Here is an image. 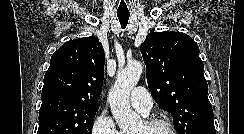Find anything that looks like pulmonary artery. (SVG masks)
<instances>
[{
    "label": "pulmonary artery",
    "mask_w": 244,
    "mask_h": 134,
    "mask_svg": "<svg viewBox=\"0 0 244 134\" xmlns=\"http://www.w3.org/2000/svg\"><path fill=\"white\" fill-rule=\"evenodd\" d=\"M130 103L134 109L143 115H147L153 102L149 92L144 87H136L130 94Z\"/></svg>",
    "instance_id": "pulmonary-artery-1"
}]
</instances>
